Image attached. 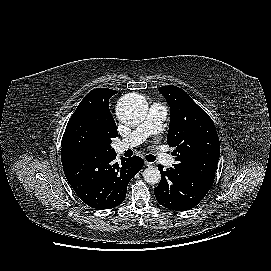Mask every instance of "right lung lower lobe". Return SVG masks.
Masks as SVG:
<instances>
[{
    "label": "right lung lower lobe",
    "mask_w": 271,
    "mask_h": 271,
    "mask_svg": "<svg viewBox=\"0 0 271 271\" xmlns=\"http://www.w3.org/2000/svg\"><path fill=\"white\" fill-rule=\"evenodd\" d=\"M115 158L116 153L61 152L67 181L92 208L104 210L121 204L129 181L143 167V160L138 156L121 158L120 164L114 162Z\"/></svg>",
    "instance_id": "1"
}]
</instances>
